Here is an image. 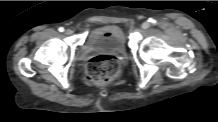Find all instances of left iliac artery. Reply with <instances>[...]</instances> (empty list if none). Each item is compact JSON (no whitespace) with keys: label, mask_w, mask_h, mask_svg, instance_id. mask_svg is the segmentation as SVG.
I'll return each mask as SVG.
<instances>
[{"label":"left iliac artery","mask_w":218,"mask_h":122,"mask_svg":"<svg viewBox=\"0 0 218 122\" xmlns=\"http://www.w3.org/2000/svg\"><path fill=\"white\" fill-rule=\"evenodd\" d=\"M149 22H151V23H155V20L152 19V18H150V19H149Z\"/></svg>","instance_id":"44dca946"}]
</instances>
